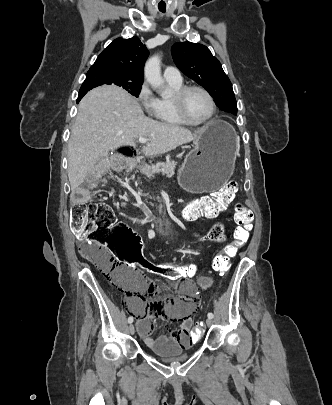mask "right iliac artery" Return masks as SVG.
<instances>
[{"label": "right iliac artery", "mask_w": 332, "mask_h": 405, "mask_svg": "<svg viewBox=\"0 0 332 405\" xmlns=\"http://www.w3.org/2000/svg\"><path fill=\"white\" fill-rule=\"evenodd\" d=\"M133 320H134V318L132 317V316H130V317H128V323H132L133 322Z\"/></svg>", "instance_id": "obj_1"}]
</instances>
